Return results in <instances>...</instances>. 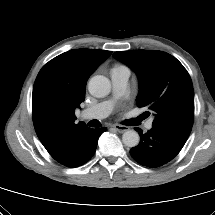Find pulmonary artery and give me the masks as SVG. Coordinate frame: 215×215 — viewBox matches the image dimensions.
<instances>
[{
    "label": "pulmonary artery",
    "mask_w": 215,
    "mask_h": 215,
    "mask_svg": "<svg viewBox=\"0 0 215 215\" xmlns=\"http://www.w3.org/2000/svg\"><path fill=\"white\" fill-rule=\"evenodd\" d=\"M110 76L112 82L113 97L110 100L100 102L94 106L85 109L81 113L82 118L103 119L107 117L111 113L116 100L124 94L130 76L129 70L127 68H114L111 70ZM146 128H152L151 121L147 122Z\"/></svg>",
    "instance_id": "e3ab8cb5"
}]
</instances>
